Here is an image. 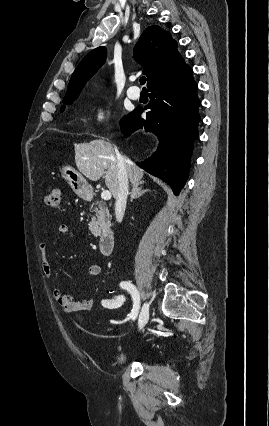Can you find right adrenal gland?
Instances as JSON below:
<instances>
[{"mask_svg": "<svg viewBox=\"0 0 269 426\" xmlns=\"http://www.w3.org/2000/svg\"><path fill=\"white\" fill-rule=\"evenodd\" d=\"M144 182L140 184H133L132 191L130 192V201L132 202L134 199L140 197L144 193L150 191L149 189H143Z\"/></svg>", "mask_w": 269, "mask_h": 426, "instance_id": "1", "label": "right adrenal gland"}]
</instances>
